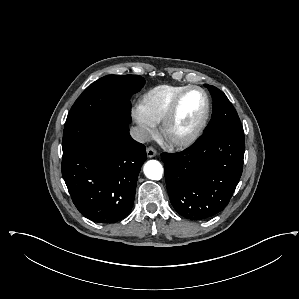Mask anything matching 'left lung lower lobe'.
<instances>
[{"label":"left lung lower lobe","instance_id":"0a47b994","mask_svg":"<svg viewBox=\"0 0 299 299\" xmlns=\"http://www.w3.org/2000/svg\"><path fill=\"white\" fill-rule=\"evenodd\" d=\"M244 152L243 132L219 130L203 134L182 152L163 153L167 190L175 210L191 220L222 211L241 177Z\"/></svg>","mask_w":299,"mask_h":299}]
</instances>
